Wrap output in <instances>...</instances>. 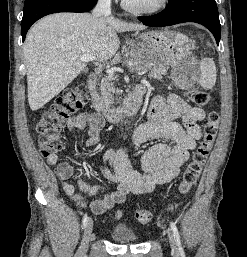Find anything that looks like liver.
Returning a JSON list of instances; mask_svg holds the SVG:
<instances>
[{"label": "liver", "mask_w": 247, "mask_h": 257, "mask_svg": "<svg viewBox=\"0 0 247 257\" xmlns=\"http://www.w3.org/2000/svg\"><path fill=\"white\" fill-rule=\"evenodd\" d=\"M143 29L140 24L88 13H55L39 20L24 44L31 110L42 108L78 76L86 66L81 55L96 62L110 59L120 46L117 33Z\"/></svg>", "instance_id": "1"}]
</instances>
